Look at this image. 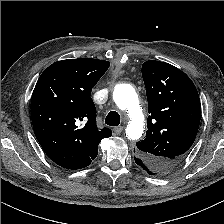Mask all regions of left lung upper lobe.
I'll use <instances>...</instances> for the list:
<instances>
[{"label": "left lung upper lobe", "mask_w": 224, "mask_h": 224, "mask_svg": "<svg viewBox=\"0 0 224 224\" xmlns=\"http://www.w3.org/2000/svg\"><path fill=\"white\" fill-rule=\"evenodd\" d=\"M148 111L144 140L136 143L139 159L153 174L173 170L192 146L201 118L197 89L178 68L149 60L142 65Z\"/></svg>", "instance_id": "1"}]
</instances>
